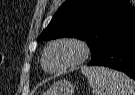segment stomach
Segmentation results:
<instances>
[{
  "label": "stomach",
  "mask_w": 135,
  "mask_h": 95,
  "mask_svg": "<svg viewBox=\"0 0 135 95\" xmlns=\"http://www.w3.org/2000/svg\"><path fill=\"white\" fill-rule=\"evenodd\" d=\"M75 86L68 80L54 82L42 95H73Z\"/></svg>",
  "instance_id": "1"
}]
</instances>
